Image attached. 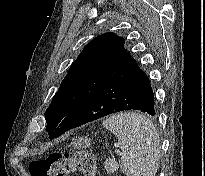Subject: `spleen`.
Segmentation results:
<instances>
[{"mask_svg": "<svg viewBox=\"0 0 205 176\" xmlns=\"http://www.w3.org/2000/svg\"><path fill=\"white\" fill-rule=\"evenodd\" d=\"M103 126L118 138L120 168L126 176H155L159 168V134L147 117L125 112L112 115Z\"/></svg>", "mask_w": 205, "mask_h": 176, "instance_id": "3e777b00", "label": "spleen"}]
</instances>
